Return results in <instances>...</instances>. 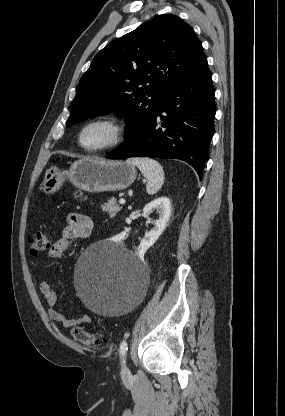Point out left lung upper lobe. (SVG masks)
Returning <instances> with one entry per match:
<instances>
[{
	"instance_id": "left-lung-upper-lobe-1",
	"label": "left lung upper lobe",
	"mask_w": 285,
	"mask_h": 416,
	"mask_svg": "<svg viewBox=\"0 0 285 416\" xmlns=\"http://www.w3.org/2000/svg\"><path fill=\"white\" fill-rule=\"evenodd\" d=\"M205 56L190 25L164 14L103 48L80 79L69 127L114 111L125 138L143 126Z\"/></svg>"
}]
</instances>
